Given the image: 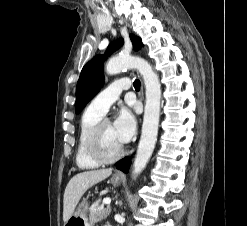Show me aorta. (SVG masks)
I'll return each instance as SVG.
<instances>
[{"instance_id":"762f6f07","label":"aorta","mask_w":247,"mask_h":226,"mask_svg":"<svg viewBox=\"0 0 247 226\" xmlns=\"http://www.w3.org/2000/svg\"><path fill=\"white\" fill-rule=\"evenodd\" d=\"M106 72L115 75L124 69H137L144 80L146 104L143 117L142 133L136 158L134 160V177L146 167L155 147L160 118L161 85L158 75L144 59L134 56H118L108 61Z\"/></svg>"}]
</instances>
